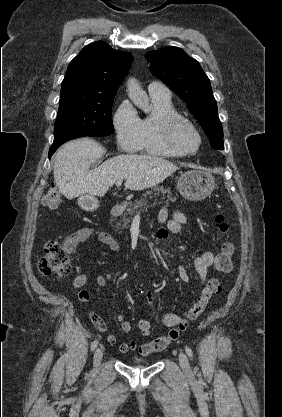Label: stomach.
I'll use <instances>...</instances> for the list:
<instances>
[{"label":"stomach","mask_w":282,"mask_h":417,"mask_svg":"<svg viewBox=\"0 0 282 417\" xmlns=\"http://www.w3.org/2000/svg\"><path fill=\"white\" fill-rule=\"evenodd\" d=\"M177 188L187 200H203L215 188V178L209 170H187L178 178Z\"/></svg>","instance_id":"stomach-1"}]
</instances>
